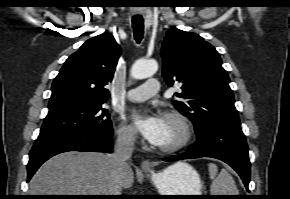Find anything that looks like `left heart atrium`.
Instances as JSON below:
<instances>
[{"mask_svg": "<svg viewBox=\"0 0 290 199\" xmlns=\"http://www.w3.org/2000/svg\"><path fill=\"white\" fill-rule=\"evenodd\" d=\"M163 117L161 114L153 111L134 112L132 114V121L142 137L156 145L162 132Z\"/></svg>", "mask_w": 290, "mask_h": 199, "instance_id": "1", "label": "left heart atrium"}]
</instances>
